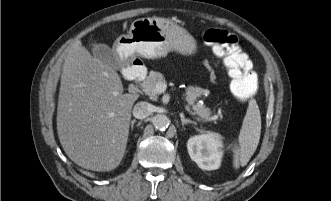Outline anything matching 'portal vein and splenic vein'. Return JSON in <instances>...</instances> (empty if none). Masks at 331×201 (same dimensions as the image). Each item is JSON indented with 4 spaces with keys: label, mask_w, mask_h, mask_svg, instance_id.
Segmentation results:
<instances>
[{
    "label": "portal vein and splenic vein",
    "mask_w": 331,
    "mask_h": 201,
    "mask_svg": "<svg viewBox=\"0 0 331 201\" xmlns=\"http://www.w3.org/2000/svg\"><path fill=\"white\" fill-rule=\"evenodd\" d=\"M166 88H167V85L165 84V82H158L155 86V91L158 93H164L166 91ZM186 110L189 111L193 115V113L190 111V108L188 106H186ZM211 119L216 120L217 116H213Z\"/></svg>",
    "instance_id": "18ae733b"
}]
</instances>
